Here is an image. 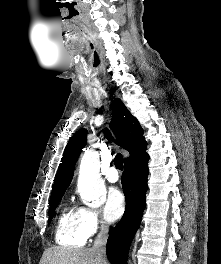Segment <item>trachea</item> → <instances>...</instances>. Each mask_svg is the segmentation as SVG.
Segmentation results:
<instances>
[{"label":"trachea","instance_id":"obj_1","mask_svg":"<svg viewBox=\"0 0 221 264\" xmlns=\"http://www.w3.org/2000/svg\"><path fill=\"white\" fill-rule=\"evenodd\" d=\"M114 165L117 169H123V156L121 154H117L114 158Z\"/></svg>","mask_w":221,"mask_h":264}]
</instances>
